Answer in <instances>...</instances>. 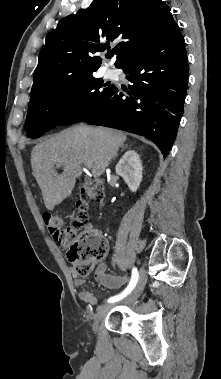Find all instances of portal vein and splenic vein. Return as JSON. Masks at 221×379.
I'll return each instance as SVG.
<instances>
[{
  "label": "portal vein and splenic vein",
  "mask_w": 221,
  "mask_h": 379,
  "mask_svg": "<svg viewBox=\"0 0 221 379\" xmlns=\"http://www.w3.org/2000/svg\"><path fill=\"white\" fill-rule=\"evenodd\" d=\"M85 166L88 168V169H91L92 168V162H87L85 164Z\"/></svg>",
  "instance_id": "obj_1"
}]
</instances>
